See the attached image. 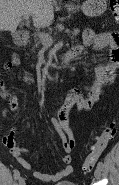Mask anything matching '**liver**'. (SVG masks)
Wrapping results in <instances>:
<instances>
[{
	"label": "liver",
	"instance_id": "liver-1",
	"mask_svg": "<svg viewBox=\"0 0 119 185\" xmlns=\"http://www.w3.org/2000/svg\"><path fill=\"white\" fill-rule=\"evenodd\" d=\"M53 0H0V30L15 32L24 14L32 15L34 26L48 27L54 18Z\"/></svg>",
	"mask_w": 119,
	"mask_h": 185
}]
</instances>
